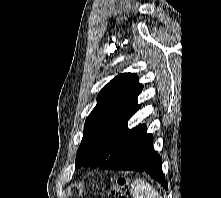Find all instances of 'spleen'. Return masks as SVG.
I'll list each match as a JSON object with an SVG mask.
<instances>
[{
	"instance_id": "obj_1",
	"label": "spleen",
	"mask_w": 221,
	"mask_h": 198,
	"mask_svg": "<svg viewBox=\"0 0 221 198\" xmlns=\"http://www.w3.org/2000/svg\"><path fill=\"white\" fill-rule=\"evenodd\" d=\"M134 198H162L158 191L142 179H136L131 184Z\"/></svg>"
}]
</instances>
